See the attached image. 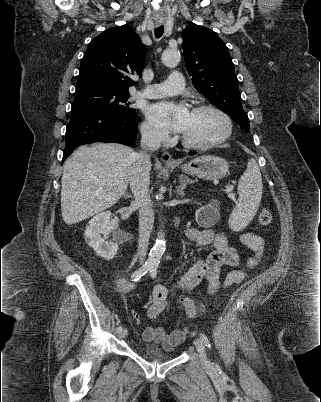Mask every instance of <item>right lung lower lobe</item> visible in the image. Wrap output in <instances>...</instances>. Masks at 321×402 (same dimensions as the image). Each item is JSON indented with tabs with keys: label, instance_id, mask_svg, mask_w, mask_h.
<instances>
[{
	"label": "right lung lower lobe",
	"instance_id": "1",
	"mask_svg": "<svg viewBox=\"0 0 321 402\" xmlns=\"http://www.w3.org/2000/svg\"><path fill=\"white\" fill-rule=\"evenodd\" d=\"M136 113L113 115L94 111L71 113L66 128V146L62 162L80 145L93 142H116L133 144L137 135Z\"/></svg>",
	"mask_w": 321,
	"mask_h": 402
}]
</instances>
